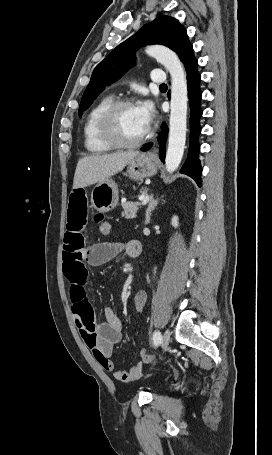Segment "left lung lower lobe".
Segmentation results:
<instances>
[{"mask_svg":"<svg viewBox=\"0 0 272 455\" xmlns=\"http://www.w3.org/2000/svg\"><path fill=\"white\" fill-rule=\"evenodd\" d=\"M185 70L187 73V84H188V96L190 104V142H189V151L187 159L180 170L181 173L187 174L192 177L196 183L201 186V165L198 159V153L200 147L198 144V135L200 134L201 128L199 126V118L202 115V110L200 108L201 100V91L199 87L200 75L197 71L198 62L196 59H188L185 63ZM168 127L164 123L162 126L161 134L158 138V141L161 144L160 149V159L162 162L165 161V142L167 139ZM152 147V144H147L142 151H147Z\"/></svg>","mask_w":272,"mask_h":455,"instance_id":"1","label":"left lung lower lobe"}]
</instances>
